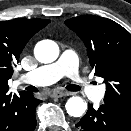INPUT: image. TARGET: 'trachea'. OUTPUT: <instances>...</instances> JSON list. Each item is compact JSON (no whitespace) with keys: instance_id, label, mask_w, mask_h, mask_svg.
<instances>
[{"instance_id":"1","label":"trachea","mask_w":131,"mask_h":131,"mask_svg":"<svg viewBox=\"0 0 131 131\" xmlns=\"http://www.w3.org/2000/svg\"><path fill=\"white\" fill-rule=\"evenodd\" d=\"M66 89L69 90V91H79L80 87L77 86V85H68V86H66ZM29 91L36 92L37 88L34 87V86H30Z\"/></svg>"}]
</instances>
